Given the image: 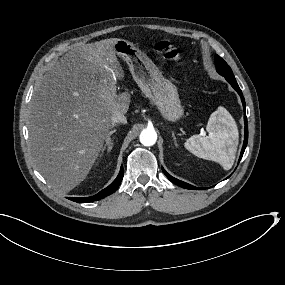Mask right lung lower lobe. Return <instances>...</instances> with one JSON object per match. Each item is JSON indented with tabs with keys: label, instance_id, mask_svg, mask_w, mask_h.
<instances>
[{
	"label": "right lung lower lobe",
	"instance_id": "obj_1",
	"mask_svg": "<svg viewBox=\"0 0 285 285\" xmlns=\"http://www.w3.org/2000/svg\"><path fill=\"white\" fill-rule=\"evenodd\" d=\"M123 175H124V171H123V167H121L117 178L108 187H106L105 189L100 191L98 194L91 196V197H84V198H71V197H69L68 199L75 201V202H79V203H85V202H92V201L100 200V199L112 194L113 192H115L117 190V188L119 187V185L122 181Z\"/></svg>",
	"mask_w": 285,
	"mask_h": 285
}]
</instances>
